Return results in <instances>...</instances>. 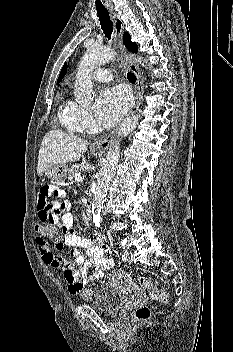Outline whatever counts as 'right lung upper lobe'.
Here are the masks:
<instances>
[{"mask_svg": "<svg viewBox=\"0 0 233 352\" xmlns=\"http://www.w3.org/2000/svg\"><path fill=\"white\" fill-rule=\"evenodd\" d=\"M66 71H67V64L65 63L61 72H60V75L58 77V80H57V84H59V82L62 80V78L65 76L66 74Z\"/></svg>", "mask_w": 233, "mask_h": 352, "instance_id": "1", "label": "right lung upper lobe"}]
</instances>
